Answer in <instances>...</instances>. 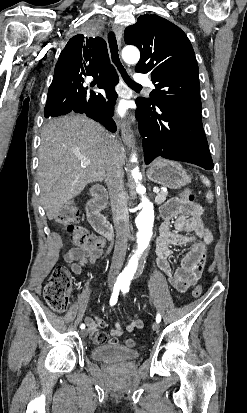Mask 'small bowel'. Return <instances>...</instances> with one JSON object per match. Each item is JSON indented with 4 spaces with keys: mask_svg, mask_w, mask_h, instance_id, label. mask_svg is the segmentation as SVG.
Instances as JSON below:
<instances>
[{
    "mask_svg": "<svg viewBox=\"0 0 247 413\" xmlns=\"http://www.w3.org/2000/svg\"><path fill=\"white\" fill-rule=\"evenodd\" d=\"M202 211V207L193 202L176 203L173 206L171 201L162 209L164 222L160 227L156 241V264L167 275L172 288L180 292L185 291L190 285L192 288L198 287L197 279L202 277L201 271L205 261L207 245L209 244L207 237L211 236L212 241V234L201 217ZM172 226H174L175 231L171 229ZM170 245L189 247L188 253L182 258L180 266L174 272L169 263ZM101 247L102 244L92 249L71 250L65 255L64 260L72 273L79 275L84 265L100 261L102 257ZM86 324L88 333L94 335L96 343L106 341V330H101L100 334L96 333L97 324L101 327L105 325L103 320L95 321L92 318H87ZM142 328L143 321L137 315L128 316V323L125 326L116 322L110 332L107 347L116 349L118 347L117 337L124 332H132L135 329Z\"/></svg>",
    "mask_w": 247,
    "mask_h": 413,
    "instance_id": "obj_1",
    "label": "small bowel"
}]
</instances>
